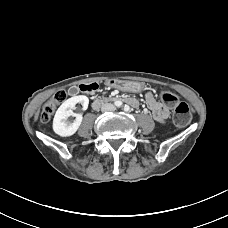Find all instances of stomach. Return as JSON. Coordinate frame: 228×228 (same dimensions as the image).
I'll list each match as a JSON object with an SVG mask.
<instances>
[{
	"label": "stomach",
	"instance_id": "0dacf381",
	"mask_svg": "<svg viewBox=\"0 0 228 228\" xmlns=\"http://www.w3.org/2000/svg\"><path fill=\"white\" fill-rule=\"evenodd\" d=\"M127 89L131 92H141L144 89V84L141 82H128L126 84Z\"/></svg>",
	"mask_w": 228,
	"mask_h": 228
}]
</instances>
